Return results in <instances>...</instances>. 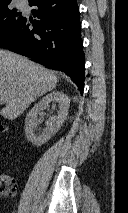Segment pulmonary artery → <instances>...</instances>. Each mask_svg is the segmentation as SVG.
Masks as SVG:
<instances>
[{"mask_svg": "<svg viewBox=\"0 0 128 213\" xmlns=\"http://www.w3.org/2000/svg\"><path fill=\"white\" fill-rule=\"evenodd\" d=\"M19 6H20L21 8H25V7L27 6L26 0H20V1H19Z\"/></svg>", "mask_w": 128, "mask_h": 213, "instance_id": "e3ab8cb5", "label": "pulmonary artery"}]
</instances>
